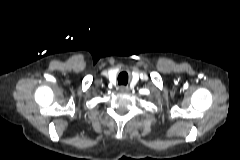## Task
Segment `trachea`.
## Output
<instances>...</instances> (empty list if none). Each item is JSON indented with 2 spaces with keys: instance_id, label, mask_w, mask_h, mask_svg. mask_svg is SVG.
<instances>
[{
  "instance_id": "trachea-1",
  "label": "trachea",
  "mask_w": 240,
  "mask_h": 160,
  "mask_svg": "<svg viewBox=\"0 0 240 160\" xmlns=\"http://www.w3.org/2000/svg\"><path fill=\"white\" fill-rule=\"evenodd\" d=\"M127 81H128V77H126V74L125 73H122L119 75L118 77V83L121 85H126L127 84Z\"/></svg>"
}]
</instances>
